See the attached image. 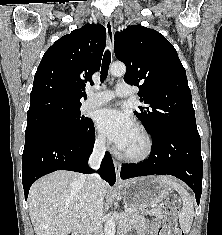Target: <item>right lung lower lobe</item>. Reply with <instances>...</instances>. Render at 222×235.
Segmentation results:
<instances>
[{
    "instance_id": "right-lung-lower-lobe-1",
    "label": "right lung lower lobe",
    "mask_w": 222,
    "mask_h": 235,
    "mask_svg": "<svg viewBox=\"0 0 222 235\" xmlns=\"http://www.w3.org/2000/svg\"><path fill=\"white\" fill-rule=\"evenodd\" d=\"M95 142L93 122L74 137L50 136L24 146L22 154V182L25 199L29 189L38 178L56 170H70L90 174L88 159ZM110 185L116 181L115 168L108 152L98 170Z\"/></svg>"
}]
</instances>
